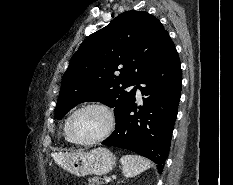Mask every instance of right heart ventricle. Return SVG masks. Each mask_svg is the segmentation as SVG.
Listing matches in <instances>:
<instances>
[{"instance_id": "1", "label": "right heart ventricle", "mask_w": 233, "mask_h": 185, "mask_svg": "<svg viewBox=\"0 0 233 185\" xmlns=\"http://www.w3.org/2000/svg\"><path fill=\"white\" fill-rule=\"evenodd\" d=\"M65 125H66V123H65ZM65 125H64V129H63L64 138H65V140H66V141L71 142V140L68 138V136H67V134H66V128H65Z\"/></svg>"}]
</instances>
